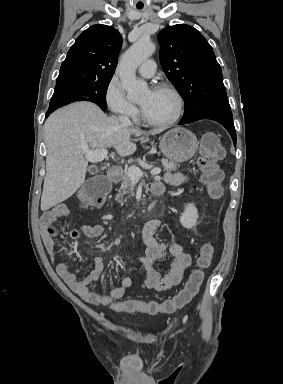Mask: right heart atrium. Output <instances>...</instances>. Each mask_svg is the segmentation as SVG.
I'll return each mask as SVG.
<instances>
[{
    "label": "right heart atrium",
    "mask_w": 283,
    "mask_h": 384,
    "mask_svg": "<svg viewBox=\"0 0 283 384\" xmlns=\"http://www.w3.org/2000/svg\"><path fill=\"white\" fill-rule=\"evenodd\" d=\"M104 96L109 110L120 119L130 121L138 116L136 105L126 98L120 82L115 77L108 81Z\"/></svg>",
    "instance_id": "right-heart-atrium-1"
}]
</instances>
